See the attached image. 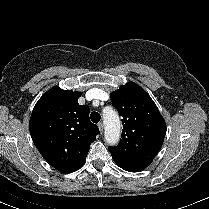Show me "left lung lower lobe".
Masks as SVG:
<instances>
[{"mask_svg":"<svg viewBox=\"0 0 209 209\" xmlns=\"http://www.w3.org/2000/svg\"><path fill=\"white\" fill-rule=\"evenodd\" d=\"M114 162L122 169L129 172H139L145 169L148 165L140 162L122 160L112 157Z\"/></svg>","mask_w":209,"mask_h":209,"instance_id":"0a47b994","label":"left lung lower lobe"}]
</instances>
